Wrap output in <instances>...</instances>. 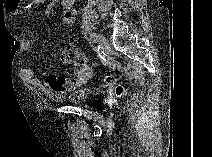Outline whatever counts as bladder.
Wrapping results in <instances>:
<instances>
[{"label":"bladder","instance_id":"obj_1","mask_svg":"<svg viewBox=\"0 0 212 157\" xmlns=\"http://www.w3.org/2000/svg\"><path fill=\"white\" fill-rule=\"evenodd\" d=\"M103 96V91L97 87L84 88L78 92L70 94L66 100L75 105L89 107L98 102Z\"/></svg>","mask_w":212,"mask_h":157}]
</instances>
